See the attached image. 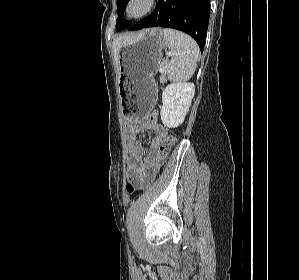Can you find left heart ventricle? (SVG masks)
<instances>
[{
	"label": "left heart ventricle",
	"instance_id": "1",
	"mask_svg": "<svg viewBox=\"0 0 299 280\" xmlns=\"http://www.w3.org/2000/svg\"><path fill=\"white\" fill-rule=\"evenodd\" d=\"M140 8H141V5H140V4H135V5H133V7H132V12H137V11L140 10Z\"/></svg>",
	"mask_w": 299,
	"mask_h": 280
}]
</instances>
